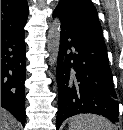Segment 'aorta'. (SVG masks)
<instances>
[{"instance_id":"obj_1","label":"aorta","mask_w":123,"mask_h":130,"mask_svg":"<svg viewBox=\"0 0 123 130\" xmlns=\"http://www.w3.org/2000/svg\"><path fill=\"white\" fill-rule=\"evenodd\" d=\"M61 24L59 19H54L50 25L47 36V49L49 52V64L54 66L58 59L60 46Z\"/></svg>"}]
</instances>
